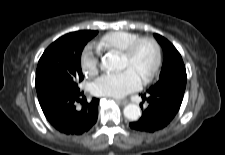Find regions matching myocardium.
<instances>
[{"label": "myocardium", "instance_id": "f54148a6", "mask_svg": "<svg viewBox=\"0 0 225 155\" xmlns=\"http://www.w3.org/2000/svg\"><path fill=\"white\" fill-rule=\"evenodd\" d=\"M143 43H148L154 51L153 65L149 72L143 78L144 82H148L157 74L162 60L161 47L154 38L149 36H140L136 38L121 52V56L132 59L138 47Z\"/></svg>", "mask_w": 225, "mask_h": 155}]
</instances>
